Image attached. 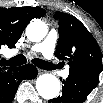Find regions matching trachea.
I'll return each mask as SVG.
<instances>
[{
	"label": "trachea",
	"mask_w": 103,
	"mask_h": 103,
	"mask_svg": "<svg viewBox=\"0 0 103 103\" xmlns=\"http://www.w3.org/2000/svg\"><path fill=\"white\" fill-rule=\"evenodd\" d=\"M25 63H26V58L24 55H21V54L15 56V57H12L9 60L3 61V64L6 66H20ZM32 63L34 65H36L37 67L44 69V70H52L54 68V66L51 63L41 60L39 58H34L32 60Z\"/></svg>",
	"instance_id": "1"
}]
</instances>
